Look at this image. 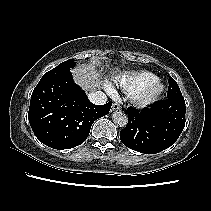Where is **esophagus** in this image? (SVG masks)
I'll return each mask as SVG.
<instances>
[{
  "mask_svg": "<svg viewBox=\"0 0 211 211\" xmlns=\"http://www.w3.org/2000/svg\"><path fill=\"white\" fill-rule=\"evenodd\" d=\"M121 109V105L117 102L113 103L112 105V110L116 111V110H120Z\"/></svg>",
  "mask_w": 211,
  "mask_h": 211,
  "instance_id": "34e87169",
  "label": "esophagus"
}]
</instances>
